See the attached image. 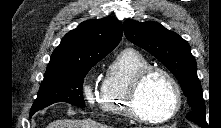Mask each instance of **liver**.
<instances>
[{"mask_svg":"<svg viewBox=\"0 0 221 128\" xmlns=\"http://www.w3.org/2000/svg\"><path fill=\"white\" fill-rule=\"evenodd\" d=\"M47 128H107L106 125L100 124L92 119L83 120H57L50 123Z\"/></svg>","mask_w":221,"mask_h":128,"instance_id":"liver-1","label":"liver"}]
</instances>
